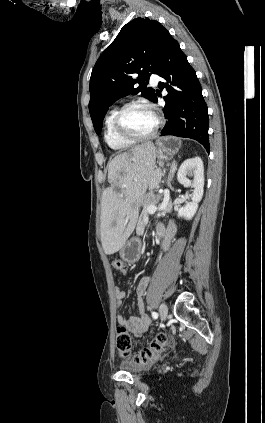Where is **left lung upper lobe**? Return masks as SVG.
Segmentation results:
<instances>
[{"instance_id": "1", "label": "left lung upper lobe", "mask_w": 265, "mask_h": 423, "mask_svg": "<svg viewBox=\"0 0 265 423\" xmlns=\"http://www.w3.org/2000/svg\"><path fill=\"white\" fill-rule=\"evenodd\" d=\"M170 37L159 22L136 18L122 27L102 53L90 78L89 112L98 135L109 106L119 98L141 92L154 100V89L146 85L159 69ZM136 73L139 76L134 78Z\"/></svg>"}]
</instances>
